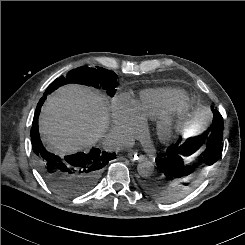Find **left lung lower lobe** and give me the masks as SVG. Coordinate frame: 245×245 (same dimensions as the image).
I'll list each match as a JSON object with an SVG mask.
<instances>
[{"label":"left lung lower lobe","mask_w":245,"mask_h":245,"mask_svg":"<svg viewBox=\"0 0 245 245\" xmlns=\"http://www.w3.org/2000/svg\"><path fill=\"white\" fill-rule=\"evenodd\" d=\"M212 112L213 123L210 129L195 137L180 138L177 143L167 148L165 154L158 155L155 159L160 179L169 184L167 194H175L191 185L193 175L183 158L198 150L206 141V148L199 157V166H210L219 159L222 150L223 118L217 110L212 109ZM146 189L151 192L154 190V185L148 183Z\"/></svg>","instance_id":"left-lung-lower-lobe-1"}]
</instances>
